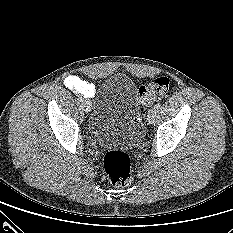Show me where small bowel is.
<instances>
[{
	"instance_id": "c3829d8e",
	"label": "small bowel",
	"mask_w": 233,
	"mask_h": 233,
	"mask_svg": "<svg viewBox=\"0 0 233 233\" xmlns=\"http://www.w3.org/2000/svg\"><path fill=\"white\" fill-rule=\"evenodd\" d=\"M64 85L76 94L91 98L96 93L95 84L88 82L77 75H69L64 79Z\"/></svg>"
}]
</instances>
